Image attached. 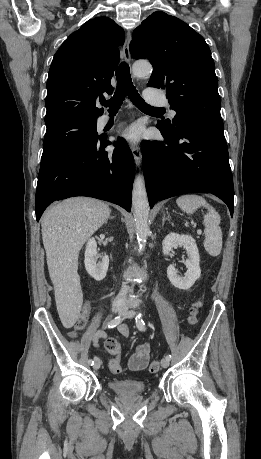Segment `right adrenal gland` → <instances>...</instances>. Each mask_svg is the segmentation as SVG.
I'll use <instances>...</instances> for the list:
<instances>
[{"mask_svg": "<svg viewBox=\"0 0 261 459\" xmlns=\"http://www.w3.org/2000/svg\"><path fill=\"white\" fill-rule=\"evenodd\" d=\"M114 218H115L114 216H109L108 219L112 220V219H114Z\"/></svg>", "mask_w": 261, "mask_h": 459, "instance_id": "right-adrenal-gland-1", "label": "right adrenal gland"}]
</instances>
